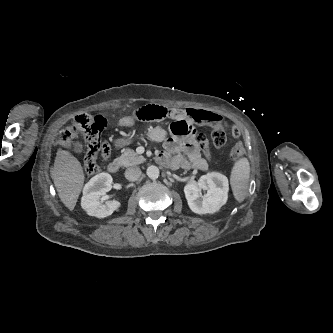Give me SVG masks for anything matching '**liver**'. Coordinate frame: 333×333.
I'll return each mask as SVG.
<instances>
[{
  "instance_id": "liver-1",
  "label": "liver",
  "mask_w": 333,
  "mask_h": 333,
  "mask_svg": "<svg viewBox=\"0 0 333 333\" xmlns=\"http://www.w3.org/2000/svg\"><path fill=\"white\" fill-rule=\"evenodd\" d=\"M52 179L62 203L73 210L84 184L81 163L69 151L58 149Z\"/></svg>"
}]
</instances>
